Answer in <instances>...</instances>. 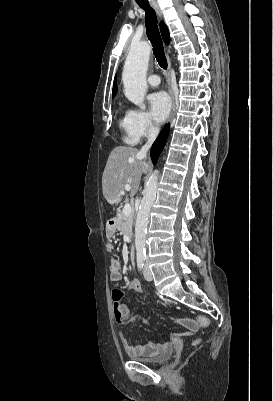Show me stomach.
I'll return each mask as SVG.
<instances>
[{"label":"stomach","mask_w":273,"mask_h":401,"mask_svg":"<svg viewBox=\"0 0 273 401\" xmlns=\"http://www.w3.org/2000/svg\"><path fill=\"white\" fill-rule=\"evenodd\" d=\"M116 229L114 227V225H109V223H107L106 225V233H107V237H113L114 233H115Z\"/></svg>","instance_id":"1"}]
</instances>
